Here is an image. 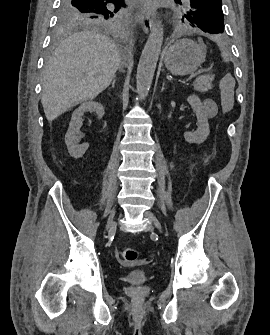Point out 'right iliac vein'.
Wrapping results in <instances>:
<instances>
[{
  "mask_svg": "<svg viewBox=\"0 0 270 335\" xmlns=\"http://www.w3.org/2000/svg\"><path fill=\"white\" fill-rule=\"evenodd\" d=\"M115 212L116 210L113 209L109 215V218H108V221H107V224H106V228L109 230V231H114L115 228H116V224L114 222V215H115Z\"/></svg>",
  "mask_w": 270,
  "mask_h": 335,
  "instance_id": "obj_1",
  "label": "right iliac vein"
}]
</instances>
